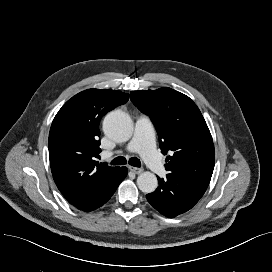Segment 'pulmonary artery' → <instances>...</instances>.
I'll return each mask as SVG.
<instances>
[{"label":"pulmonary artery","instance_id":"e3ab8cb5","mask_svg":"<svg viewBox=\"0 0 272 272\" xmlns=\"http://www.w3.org/2000/svg\"><path fill=\"white\" fill-rule=\"evenodd\" d=\"M128 152H138L157 176H164L166 168L155 149L154 132L150 119L141 115L135 125L133 138L126 146Z\"/></svg>","mask_w":272,"mask_h":272}]
</instances>
